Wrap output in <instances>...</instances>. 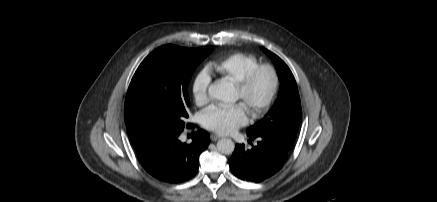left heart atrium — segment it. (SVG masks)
<instances>
[{
  "instance_id": "1",
  "label": "left heart atrium",
  "mask_w": 437,
  "mask_h": 202,
  "mask_svg": "<svg viewBox=\"0 0 437 202\" xmlns=\"http://www.w3.org/2000/svg\"><path fill=\"white\" fill-rule=\"evenodd\" d=\"M248 111L243 103L211 106L202 115L205 128L225 135L247 123Z\"/></svg>"
}]
</instances>
